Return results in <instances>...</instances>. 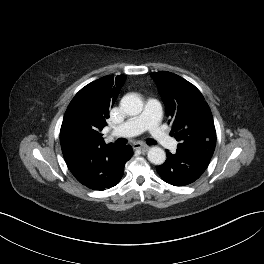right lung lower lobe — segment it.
<instances>
[{"label":"right lung lower lobe","mask_w":264,"mask_h":264,"mask_svg":"<svg viewBox=\"0 0 264 264\" xmlns=\"http://www.w3.org/2000/svg\"><path fill=\"white\" fill-rule=\"evenodd\" d=\"M65 162L74 177L93 190H105L117 185L125 163L132 157L129 146L101 144L63 152Z\"/></svg>","instance_id":"right-lung-lower-lobe-1"}]
</instances>
